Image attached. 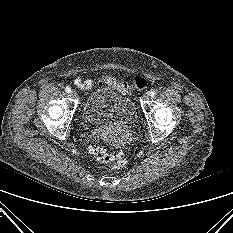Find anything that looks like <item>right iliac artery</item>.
<instances>
[{
  "label": "right iliac artery",
  "instance_id": "obj_1",
  "mask_svg": "<svg viewBox=\"0 0 233 233\" xmlns=\"http://www.w3.org/2000/svg\"><path fill=\"white\" fill-rule=\"evenodd\" d=\"M65 91H66L67 93H70V92H71V88L66 87V88H65Z\"/></svg>",
  "mask_w": 233,
  "mask_h": 233
}]
</instances>
